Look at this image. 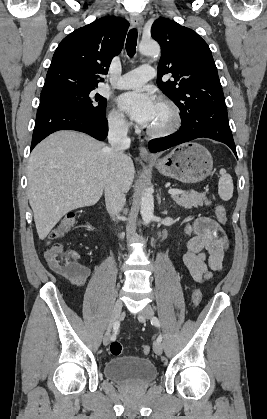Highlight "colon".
<instances>
[{"label": "colon", "instance_id": "5ec220e1", "mask_svg": "<svg viewBox=\"0 0 267 419\" xmlns=\"http://www.w3.org/2000/svg\"><path fill=\"white\" fill-rule=\"evenodd\" d=\"M216 217L219 223L225 224L227 221L226 209L223 205H218L215 209ZM77 215L75 213L66 214L57 224V226L49 233L44 256L49 266L57 273L76 277L83 273L84 267L78 261V254L64 248L57 242L62 238L76 223ZM202 300V293L199 289H194L192 294V303L198 306ZM109 352L113 356H119L123 352V346L119 341H113L109 346ZM141 352L145 355L149 354L150 346L142 345Z\"/></svg>", "mask_w": 267, "mask_h": 419}]
</instances>
